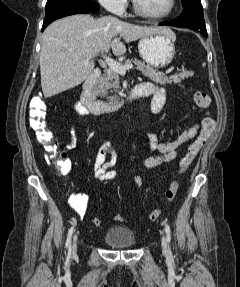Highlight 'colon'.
<instances>
[{"label":"colon","mask_w":240,"mask_h":287,"mask_svg":"<svg viewBox=\"0 0 240 287\" xmlns=\"http://www.w3.org/2000/svg\"><path fill=\"white\" fill-rule=\"evenodd\" d=\"M192 96L195 104L201 109H208L211 104V98L209 94L205 91L194 90L192 91ZM30 127L35 132L37 139L43 143L48 145V149L53 151L54 155L53 158L55 160L56 168L61 173H67L70 168V162L64 157L62 154H57L55 152V147H53V135L48 130L45 122L46 116V105L44 101L39 97H34L30 101ZM215 127L214 120L211 118H204L202 120L201 129L199 135L196 137L195 141L191 143L184 155L181 159L179 164V173H185L189 167L191 166L192 162L202 149V147L207 142L208 138L210 137L213 129ZM179 188V179H176L171 182L169 187L166 190V198L168 200H173L176 196L177 190ZM161 216V210L155 209L149 214V219L151 221L157 220ZM115 220L118 222L124 221V217L122 215H116ZM91 222L94 226H99L101 224V220L97 217H93Z\"/></svg>","instance_id":"1"}]
</instances>
